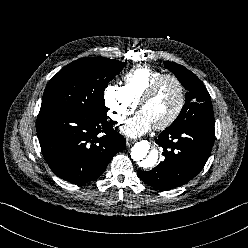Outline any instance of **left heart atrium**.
I'll list each match as a JSON object with an SVG mask.
<instances>
[{"label": "left heart atrium", "instance_id": "obj_1", "mask_svg": "<svg viewBox=\"0 0 248 248\" xmlns=\"http://www.w3.org/2000/svg\"><path fill=\"white\" fill-rule=\"evenodd\" d=\"M152 126L148 117L140 111L125 122L122 126V131L129 137H138L148 132Z\"/></svg>", "mask_w": 248, "mask_h": 248}]
</instances>
